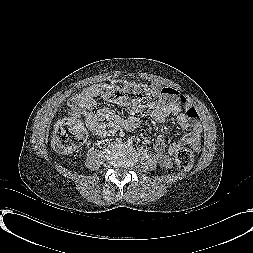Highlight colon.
Instances as JSON below:
<instances>
[{"instance_id":"1","label":"colon","mask_w":253,"mask_h":253,"mask_svg":"<svg viewBox=\"0 0 253 253\" xmlns=\"http://www.w3.org/2000/svg\"><path fill=\"white\" fill-rule=\"evenodd\" d=\"M104 99L118 103L131 104L138 107L149 106L164 98V94L137 83L114 81L102 85L99 89ZM83 126L76 119L61 121L55 128L53 135L54 148L62 153H71L78 149L85 141ZM176 163L180 169L192 166L193 155L190 150L181 148L176 153Z\"/></svg>"}]
</instances>
